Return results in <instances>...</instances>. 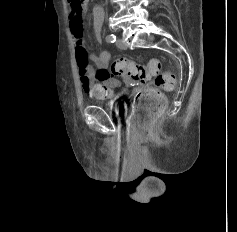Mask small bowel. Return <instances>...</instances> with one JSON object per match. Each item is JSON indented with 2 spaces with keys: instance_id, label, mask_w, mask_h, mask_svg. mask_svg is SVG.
Instances as JSON below:
<instances>
[{
  "instance_id": "1",
  "label": "small bowel",
  "mask_w": 237,
  "mask_h": 232,
  "mask_svg": "<svg viewBox=\"0 0 237 232\" xmlns=\"http://www.w3.org/2000/svg\"><path fill=\"white\" fill-rule=\"evenodd\" d=\"M102 23L103 11L100 8H95L93 11V27L98 39ZM69 26L75 41L76 60L84 92L95 99L112 98L114 96L113 90L119 86V81L112 77L108 70L111 53L103 50L98 56H92L87 52L84 45L81 11L71 10Z\"/></svg>"
}]
</instances>
